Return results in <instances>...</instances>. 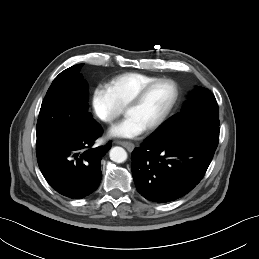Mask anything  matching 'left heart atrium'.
Wrapping results in <instances>:
<instances>
[{
	"mask_svg": "<svg viewBox=\"0 0 259 259\" xmlns=\"http://www.w3.org/2000/svg\"><path fill=\"white\" fill-rule=\"evenodd\" d=\"M145 131V128L132 116H126L124 120L113 126L110 134L115 137L133 138Z\"/></svg>",
	"mask_w": 259,
	"mask_h": 259,
	"instance_id": "left-heart-atrium-1",
	"label": "left heart atrium"
}]
</instances>
